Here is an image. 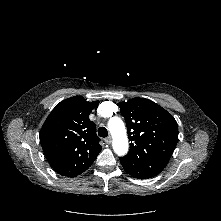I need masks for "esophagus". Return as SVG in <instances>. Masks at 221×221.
<instances>
[{
  "label": "esophagus",
  "instance_id": "34e87169",
  "mask_svg": "<svg viewBox=\"0 0 221 221\" xmlns=\"http://www.w3.org/2000/svg\"><path fill=\"white\" fill-rule=\"evenodd\" d=\"M104 141L106 144H111L112 138L109 136V137L105 138Z\"/></svg>",
  "mask_w": 221,
  "mask_h": 221
}]
</instances>
